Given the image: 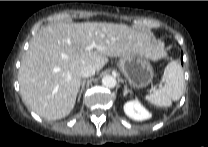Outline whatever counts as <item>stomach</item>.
<instances>
[{"mask_svg": "<svg viewBox=\"0 0 208 147\" xmlns=\"http://www.w3.org/2000/svg\"><path fill=\"white\" fill-rule=\"evenodd\" d=\"M119 69L133 88H143L153 79V68L147 58L139 53L123 56L118 63Z\"/></svg>", "mask_w": 208, "mask_h": 147, "instance_id": "0dacf381", "label": "stomach"}]
</instances>
